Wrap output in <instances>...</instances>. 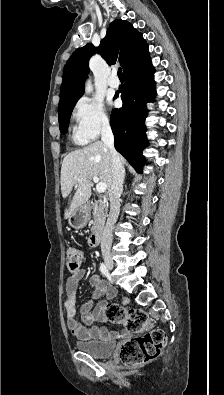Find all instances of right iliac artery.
Wrapping results in <instances>:
<instances>
[{
    "mask_svg": "<svg viewBox=\"0 0 224 395\" xmlns=\"http://www.w3.org/2000/svg\"><path fill=\"white\" fill-rule=\"evenodd\" d=\"M100 271L104 276L108 275V269L104 263L100 264Z\"/></svg>",
    "mask_w": 224,
    "mask_h": 395,
    "instance_id": "82829eb1",
    "label": "right iliac artery"
}]
</instances>
